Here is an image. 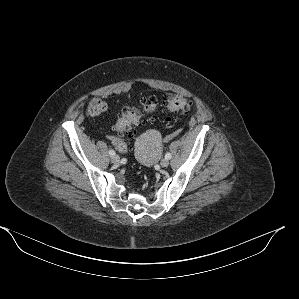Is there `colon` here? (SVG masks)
<instances>
[{"mask_svg":"<svg viewBox=\"0 0 299 299\" xmlns=\"http://www.w3.org/2000/svg\"><path fill=\"white\" fill-rule=\"evenodd\" d=\"M162 105L171 112H188L193 108V103L190 99L177 95L165 96L162 100ZM159 106L160 103L156 98L143 99L140 110H125L121 114L115 125L116 131L119 135L132 137L136 126L141 121L142 115L147 112L157 111ZM105 108V103L100 98H93L87 104L86 113L89 116H98L105 111ZM116 147L122 152H127L129 149L123 139L117 143Z\"/></svg>","mask_w":299,"mask_h":299,"instance_id":"obj_1","label":"colon"}]
</instances>
